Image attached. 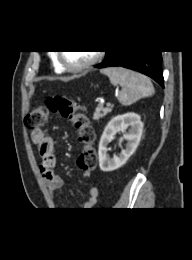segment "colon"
Segmentation results:
<instances>
[{
    "label": "colon",
    "instance_id": "obj_1",
    "mask_svg": "<svg viewBox=\"0 0 192 260\" xmlns=\"http://www.w3.org/2000/svg\"><path fill=\"white\" fill-rule=\"evenodd\" d=\"M50 113H58L74 121L79 141L84 145L77 161L78 166L83 170H92L96 164V151L93 145L95 133L83 107L65 96L49 97L45 105L36 107L28 115L26 119L28 129L33 133L46 125Z\"/></svg>",
    "mask_w": 192,
    "mask_h": 260
}]
</instances>
